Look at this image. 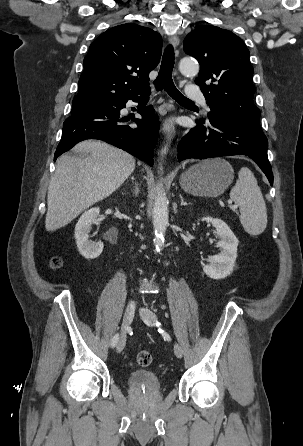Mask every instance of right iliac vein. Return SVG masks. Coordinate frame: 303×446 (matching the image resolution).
<instances>
[{
  "label": "right iliac vein",
  "mask_w": 303,
  "mask_h": 446,
  "mask_svg": "<svg viewBox=\"0 0 303 446\" xmlns=\"http://www.w3.org/2000/svg\"><path fill=\"white\" fill-rule=\"evenodd\" d=\"M135 314V305L134 304H128L124 316H123V322H122V329H121V335L116 345V351L117 353H120L126 344V332L134 318Z\"/></svg>",
  "instance_id": "right-iliac-vein-1"
}]
</instances>
